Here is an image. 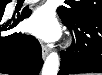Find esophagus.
<instances>
[{"label": "esophagus", "mask_w": 102, "mask_h": 75, "mask_svg": "<svg viewBox=\"0 0 102 75\" xmlns=\"http://www.w3.org/2000/svg\"><path fill=\"white\" fill-rule=\"evenodd\" d=\"M41 47H42V57L43 59H45L49 53V48L45 44H42Z\"/></svg>", "instance_id": "1"}]
</instances>
